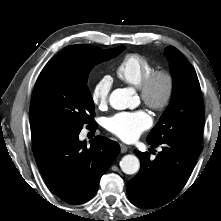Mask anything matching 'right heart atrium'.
Instances as JSON below:
<instances>
[{"label":"right heart atrium","mask_w":221,"mask_h":221,"mask_svg":"<svg viewBox=\"0 0 221 221\" xmlns=\"http://www.w3.org/2000/svg\"><path fill=\"white\" fill-rule=\"evenodd\" d=\"M112 88V79L110 76H102L99 78L90 93L92 103L98 108H104L109 102L110 92Z\"/></svg>","instance_id":"1"}]
</instances>
